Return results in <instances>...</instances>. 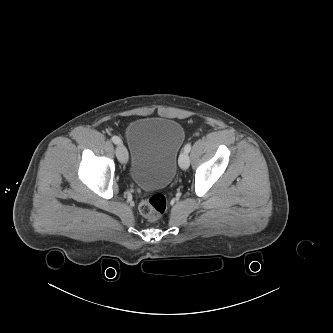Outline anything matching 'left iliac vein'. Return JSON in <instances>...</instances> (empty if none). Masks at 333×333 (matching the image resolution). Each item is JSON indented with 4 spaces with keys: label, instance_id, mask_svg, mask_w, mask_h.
I'll use <instances>...</instances> for the list:
<instances>
[{
    "label": "left iliac vein",
    "instance_id": "1",
    "mask_svg": "<svg viewBox=\"0 0 333 333\" xmlns=\"http://www.w3.org/2000/svg\"><path fill=\"white\" fill-rule=\"evenodd\" d=\"M190 165V158L188 153L182 152L179 156V166L182 169H187Z\"/></svg>",
    "mask_w": 333,
    "mask_h": 333
}]
</instances>
